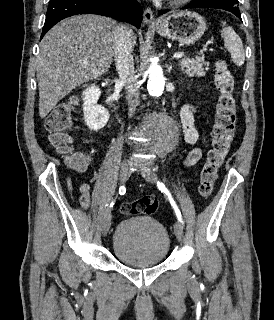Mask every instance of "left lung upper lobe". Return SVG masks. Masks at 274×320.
I'll list each match as a JSON object with an SVG mask.
<instances>
[{
	"mask_svg": "<svg viewBox=\"0 0 274 320\" xmlns=\"http://www.w3.org/2000/svg\"><path fill=\"white\" fill-rule=\"evenodd\" d=\"M208 1H213V2L224 4L229 7L238 8V6H237L238 0H208Z\"/></svg>",
	"mask_w": 274,
	"mask_h": 320,
	"instance_id": "obj_1",
	"label": "left lung upper lobe"
}]
</instances>
